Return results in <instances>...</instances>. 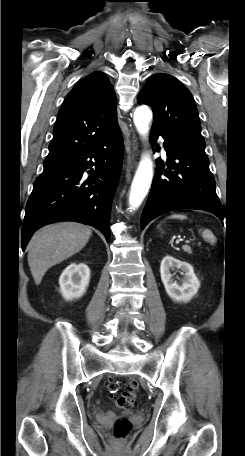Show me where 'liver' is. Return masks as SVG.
I'll list each match as a JSON object with an SVG mask.
<instances>
[{
  "label": "liver",
  "instance_id": "obj_1",
  "mask_svg": "<svg viewBox=\"0 0 245 456\" xmlns=\"http://www.w3.org/2000/svg\"><path fill=\"white\" fill-rule=\"evenodd\" d=\"M90 227L61 222L38 230L28 245V264L36 285L49 268L79 252L90 239Z\"/></svg>",
  "mask_w": 245,
  "mask_h": 456
}]
</instances>
